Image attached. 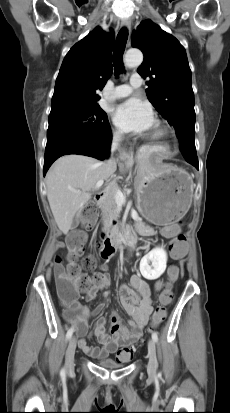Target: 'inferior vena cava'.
I'll list each match as a JSON object with an SVG mask.
<instances>
[{
	"label": "inferior vena cava",
	"mask_w": 230,
	"mask_h": 413,
	"mask_svg": "<svg viewBox=\"0 0 230 413\" xmlns=\"http://www.w3.org/2000/svg\"><path fill=\"white\" fill-rule=\"evenodd\" d=\"M119 140H120V135H119V134H116V135L113 137V140H112L111 152H114V151L117 149ZM105 168L108 169V170H114V169H116V162H115V160L112 159V158H110L109 160H107V161L105 162Z\"/></svg>",
	"instance_id": "obj_1"
}]
</instances>
